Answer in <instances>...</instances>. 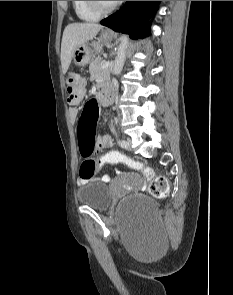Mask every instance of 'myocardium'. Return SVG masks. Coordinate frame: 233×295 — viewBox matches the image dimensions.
I'll return each instance as SVG.
<instances>
[{"instance_id": "f54148a6", "label": "myocardium", "mask_w": 233, "mask_h": 295, "mask_svg": "<svg viewBox=\"0 0 233 295\" xmlns=\"http://www.w3.org/2000/svg\"><path fill=\"white\" fill-rule=\"evenodd\" d=\"M86 2L88 4L89 8L93 12L98 14L99 16L111 13L112 11H114L118 7V5L120 3V1H117L109 7H103L101 5L100 1H86Z\"/></svg>"}]
</instances>
